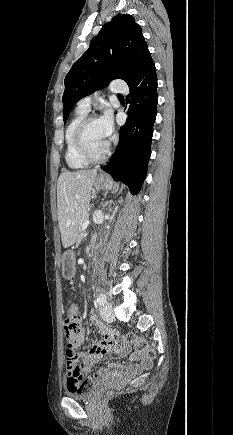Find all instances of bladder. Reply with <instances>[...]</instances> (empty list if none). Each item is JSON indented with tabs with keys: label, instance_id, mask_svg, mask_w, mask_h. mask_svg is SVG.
Returning a JSON list of instances; mask_svg holds the SVG:
<instances>
[{
	"label": "bladder",
	"instance_id": "bladder-1",
	"mask_svg": "<svg viewBox=\"0 0 233 435\" xmlns=\"http://www.w3.org/2000/svg\"><path fill=\"white\" fill-rule=\"evenodd\" d=\"M100 386L101 383H96V384H92L90 388L84 392H72L70 390H66L64 394L71 398H75L79 400H88V399H92L96 395L97 389Z\"/></svg>",
	"mask_w": 233,
	"mask_h": 435
}]
</instances>
